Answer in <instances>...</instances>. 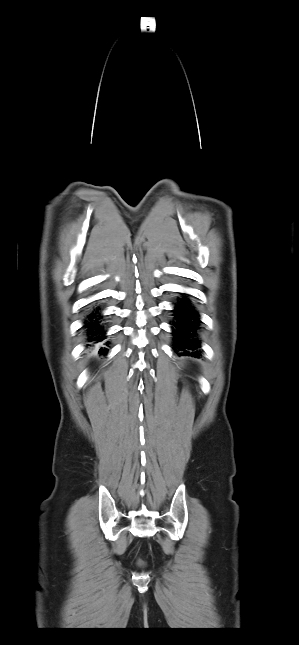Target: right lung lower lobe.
<instances>
[{"label":"right lung lower lobe","mask_w":299,"mask_h":645,"mask_svg":"<svg viewBox=\"0 0 299 645\" xmlns=\"http://www.w3.org/2000/svg\"><path fill=\"white\" fill-rule=\"evenodd\" d=\"M101 319L102 316L99 308L94 309L87 316L84 325L87 332V346H93L94 344L102 343L106 339L105 331L100 326ZM104 344L108 346L109 342L107 341ZM99 352L106 354L108 352V349L102 347Z\"/></svg>","instance_id":"obj_1"}]
</instances>
